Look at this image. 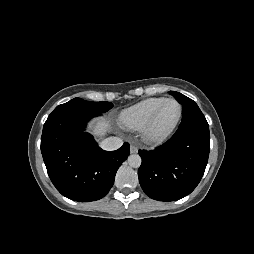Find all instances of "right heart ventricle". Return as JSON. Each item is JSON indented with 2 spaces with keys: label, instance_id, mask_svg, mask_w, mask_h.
Listing matches in <instances>:
<instances>
[{
  "label": "right heart ventricle",
  "instance_id": "right-heart-ventricle-1",
  "mask_svg": "<svg viewBox=\"0 0 254 254\" xmlns=\"http://www.w3.org/2000/svg\"><path fill=\"white\" fill-rule=\"evenodd\" d=\"M164 99V97L147 98L124 109L119 115V123L129 130H141L155 108Z\"/></svg>",
  "mask_w": 254,
  "mask_h": 254
}]
</instances>
